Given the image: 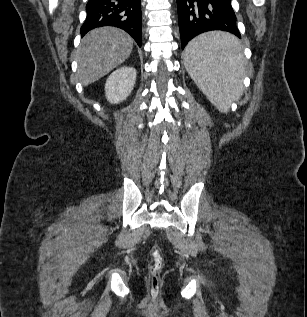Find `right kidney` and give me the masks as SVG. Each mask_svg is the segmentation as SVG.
I'll use <instances>...</instances> for the list:
<instances>
[{
    "label": "right kidney",
    "instance_id": "right-kidney-1",
    "mask_svg": "<svg viewBox=\"0 0 307 317\" xmlns=\"http://www.w3.org/2000/svg\"><path fill=\"white\" fill-rule=\"evenodd\" d=\"M136 75V69L130 66H123L115 70L105 84L107 100L112 104L124 101L134 88Z\"/></svg>",
    "mask_w": 307,
    "mask_h": 317
}]
</instances>
